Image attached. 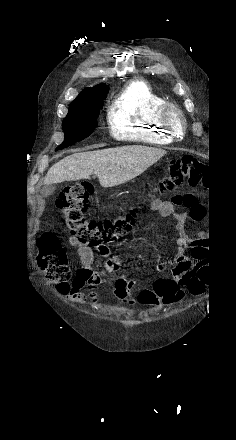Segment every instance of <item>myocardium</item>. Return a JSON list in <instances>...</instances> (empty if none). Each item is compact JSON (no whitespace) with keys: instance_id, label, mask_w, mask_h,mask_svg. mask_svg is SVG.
<instances>
[{"instance_id":"1","label":"myocardium","mask_w":236,"mask_h":440,"mask_svg":"<svg viewBox=\"0 0 236 440\" xmlns=\"http://www.w3.org/2000/svg\"><path fill=\"white\" fill-rule=\"evenodd\" d=\"M178 119V124L174 118ZM159 123L172 140H180L185 134L187 120L183 111L174 103L167 102L161 108L158 115Z\"/></svg>"}]
</instances>
